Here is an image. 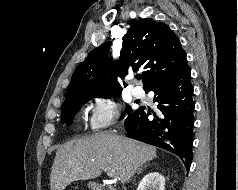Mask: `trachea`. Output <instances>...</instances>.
<instances>
[{"label":"trachea","instance_id":"trachea-1","mask_svg":"<svg viewBox=\"0 0 238 190\" xmlns=\"http://www.w3.org/2000/svg\"><path fill=\"white\" fill-rule=\"evenodd\" d=\"M137 79H138V80H140V79H141V77H140V76H138V77H137Z\"/></svg>","mask_w":238,"mask_h":190}]
</instances>
